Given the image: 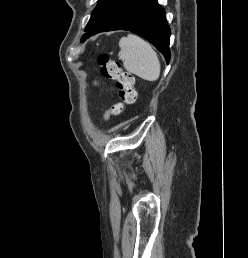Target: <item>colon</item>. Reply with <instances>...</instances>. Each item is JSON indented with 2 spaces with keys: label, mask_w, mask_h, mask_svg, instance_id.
Returning <instances> with one entry per match:
<instances>
[{
  "label": "colon",
  "mask_w": 248,
  "mask_h": 258,
  "mask_svg": "<svg viewBox=\"0 0 248 258\" xmlns=\"http://www.w3.org/2000/svg\"><path fill=\"white\" fill-rule=\"evenodd\" d=\"M97 63L100 72L105 78L116 81L119 100L111 106L104 114L107 120L111 116H121L126 105H131L136 101V89L134 86V77L131 73L122 69L118 60L111 59L108 55L102 54L98 57Z\"/></svg>",
  "instance_id": "5ec220e1"
}]
</instances>
